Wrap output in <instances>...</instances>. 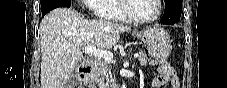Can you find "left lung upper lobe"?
<instances>
[{"mask_svg":"<svg viewBox=\"0 0 227 88\" xmlns=\"http://www.w3.org/2000/svg\"><path fill=\"white\" fill-rule=\"evenodd\" d=\"M165 1V3H167L168 1H170V0H164Z\"/></svg>","mask_w":227,"mask_h":88,"instance_id":"1","label":"left lung upper lobe"}]
</instances>
